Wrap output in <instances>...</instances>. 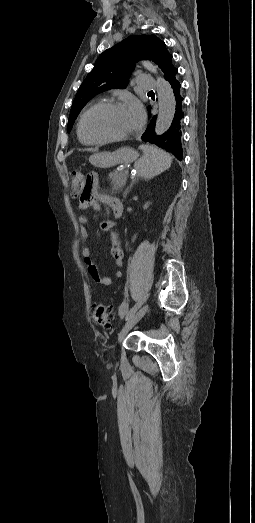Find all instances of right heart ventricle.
Returning a JSON list of instances; mask_svg holds the SVG:
<instances>
[{"label": "right heart ventricle", "instance_id": "obj_1", "mask_svg": "<svg viewBox=\"0 0 255 523\" xmlns=\"http://www.w3.org/2000/svg\"><path fill=\"white\" fill-rule=\"evenodd\" d=\"M78 136L80 138V140L84 143V144H90V142L86 141L85 139H83L79 133V130H78Z\"/></svg>", "mask_w": 255, "mask_h": 523}]
</instances>
